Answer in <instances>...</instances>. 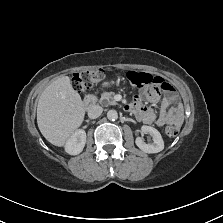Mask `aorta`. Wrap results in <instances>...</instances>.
Here are the masks:
<instances>
[{
    "label": "aorta",
    "instance_id": "aorta-1",
    "mask_svg": "<svg viewBox=\"0 0 223 223\" xmlns=\"http://www.w3.org/2000/svg\"><path fill=\"white\" fill-rule=\"evenodd\" d=\"M107 118L111 121H115L118 118V113L115 110H109L107 113Z\"/></svg>",
    "mask_w": 223,
    "mask_h": 223
}]
</instances>
